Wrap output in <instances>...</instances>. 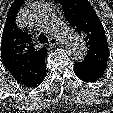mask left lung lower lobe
I'll return each instance as SVG.
<instances>
[{
    "instance_id": "left-lung-lower-lobe-1",
    "label": "left lung lower lobe",
    "mask_w": 113,
    "mask_h": 113,
    "mask_svg": "<svg viewBox=\"0 0 113 113\" xmlns=\"http://www.w3.org/2000/svg\"><path fill=\"white\" fill-rule=\"evenodd\" d=\"M105 69L86 64L83 62H77L74 64V72L78 78L85 82H95L102 77Z\"/></svg>"
}]
</instances>
